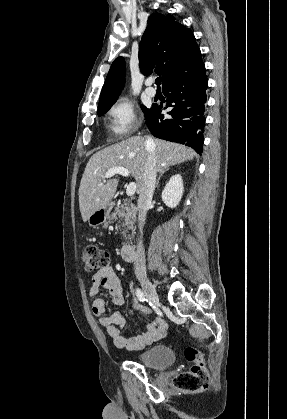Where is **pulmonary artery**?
I'll return each instance as SVG.
<instances>
[{
    "instance_id": "e3ab8cb5",
    "label": "pulmonary artery",
    "mask_w": 287,
    "mask_h": 419,
    "mask_svg": "<svg viewBox=\"0 0 287 419\" xmlns=\"http://www.w3.org/2000/svg\"><path fill=\"white\" fill-rule=\"evenodd\" d=\"M145 85L146 94L150 97H154L156 95V89L152 87V79H147Z\"/></svg>"
}]
</instances>
